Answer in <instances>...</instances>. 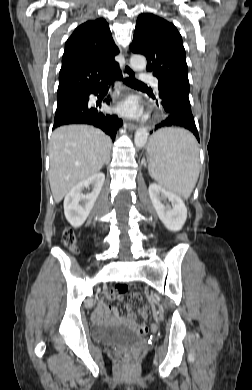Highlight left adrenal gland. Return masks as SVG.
I'll use <instances>...</instances> for the list:
<instances>
[{
    "label": "left adrenal gland",
    "instance_id": "obj_1",
    "mask_svg": "<svg viewBox=\"0 0 252 390\" xmlns=\"http://www.w3.org/2000/svg\"><path fill=\"white\" fill-rule=\"evenodd\" d=\"M144 166H146L145 159H143Z\"/></svg>",
    "mask_w": 252,
    "mask_h": 390
}]
</instances>
